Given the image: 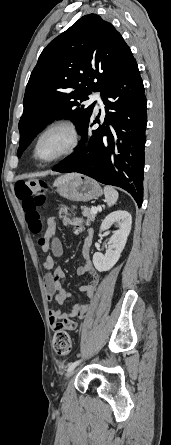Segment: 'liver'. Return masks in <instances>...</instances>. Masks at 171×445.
<instances>
[{"instance_id": "6515ba94", "label": "liver", "mask_w": 171, "mask_h": 445, "mask_svg": "<svg viewBox=\"0 0 171 445\" xmlns=\"http://www.w3.org/2000/svg\"><path fill=\"white\" fill-rule=\"evenodd\" d=\"M74 176H76V175L73 174V175H68V176H66V177L71 178V177H74Z\"/></svg>"}]
</instances>
